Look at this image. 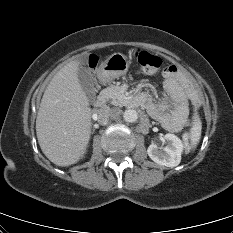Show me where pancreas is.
Here are the masks:
<instances>
[{"mask_svg": "<svg viewBox=\"0 0 233 233\" xmlns=\"http://www.w3.org/2000/svg\"><path fill=\"white\" fill-rule=\"evenodd\" d=\"M108 99L111 100V103L116 106H128L129 98L125 96L124 92L121 90L120 86L114 85L108 87L102 91Z\"/></svg>", "mask_w": 233, "mask_h": 233, "instance_id": "obj_1", "label": "pancreas"}]
</instances>
